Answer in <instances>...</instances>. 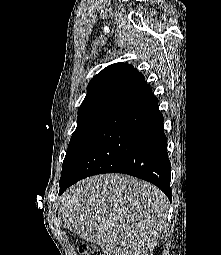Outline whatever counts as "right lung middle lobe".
I'll use <instances>...</instances> for the list:
<instances>
[{
    "label": "right lung middle lobe",
    "instance_id": "obj_1",
    "mask_svg": "<svg viewBox=\"0 0 221 255\" xmlns=\"http://www.w3.org/2000/svg\"><path fill=\"white\" fill-rule=\"evenodd\" d=\"M118 107H101L78 113V123L63 161V179Z\"/></svg>",
    "mask_w": 221,
    "mask_h": 255
}]
</instances>
